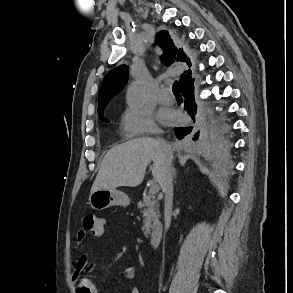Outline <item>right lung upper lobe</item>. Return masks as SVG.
<instances>
[{
	"label": "right lung upper lobe",
	"instance_id": "cb5924a9",
	"mask_svg": "<svg viewBox=\"0 0 293 293\" xmlns=\"http://www.w3.org/2000/svg\"><path fill=\"white\" fill-rule=\"evenodd\" d=\"M156 43L159 44L165 51V55L162 56L165 65L169 66L174 61L186 62L189 67H191L190 59L186 60V55L181 49H177L174 45L168 31L163 30L156 35ZM180 76L179 86H183L185 82L191 80V70L185 71ZM128 66L122 65L111 72H109L101 85L99 92V105H98V114L99 116L103 115V110L105 109L109 100L122 88V86L128 80Z\"/></svg>",
	"mask_w": 293,
	"mask_h": 293
}]
</instances>
